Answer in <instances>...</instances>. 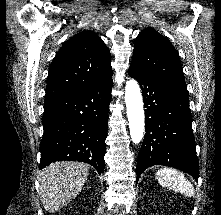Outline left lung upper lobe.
I'll return each mask as SVG.
<instances>
[{"label": "left lung upper lobe", "mask_w": 221, "mask_h": 215, "mask_svg": "<svg viewBox=\"0 0 221 215\" xmlns=\"http://www.w3.org/2000/svg\"><path fill=\"white\" fill-rule=\"evenodd\" d=\"M130 68L170 87L186 92L183 68L171 42L152 28L137 36Z\"/></svg>", "instance_id": "left-lung-upper-lobe-1"}]
</instances>
